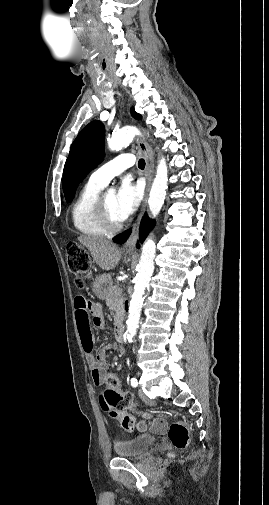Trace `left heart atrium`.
Returning a JSON list of instances; mask_svg holds the SVG:
<instances>
[{"mask_svg":"<svg viewBox=\"0 0 269 505\" xmlns=\"http://www.w3.org/2000/svg\"><path fill=\"white\" fill-rule=\"evenodd\" d=\"M116 199V213L124 221L137 209L141 200V189L129 180H123L118 188Z\"/></svg>","mask_w":269,"mask_h":505,"instance_id":"39dd6f15","label":"left heart atrium"}]
</instances>
